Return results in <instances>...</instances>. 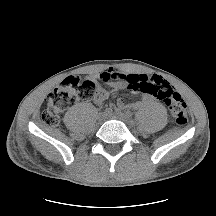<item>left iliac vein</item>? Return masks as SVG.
Wrapping results in <instances>:
<instances>
[{
  "mask_svg": "<svg viewBox=\"0 0 216 216\" xmlns=\"http://www.w3.org/2000/svg\"><path fill=\"white\" fill-rule=\"evenodd\" d=\"M110 119H116V120H120L126 124L130 123V119L129 117H127L124 113H115V114H110L109 115Z\"/></svg>",
  "mask_w": 216,
  "mask_h": 216,
  "instance_id": "obj_1",
  "label": "left iliac vein"
}]
</instances>
